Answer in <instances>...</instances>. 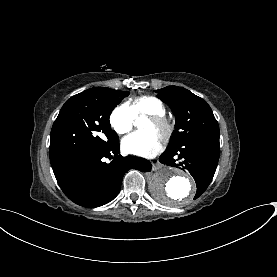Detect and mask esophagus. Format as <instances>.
Instances as JSON below:
<instances>
[{"mask_svg":"<svg viewBox=\"0 0 277 277\" xmlns=\"http://www.w3.org/2000/svg\"><path fill=\"white\" fill-rule=\"evenodd\" d=\"M150 162H151L153 171L159 170L163 167V165L159 162L158 158H154Z\"/></svg>","mask_w":277,"mask_h":277,"instance_id":"34e87169","label":"esophagus"}]
</instances>
